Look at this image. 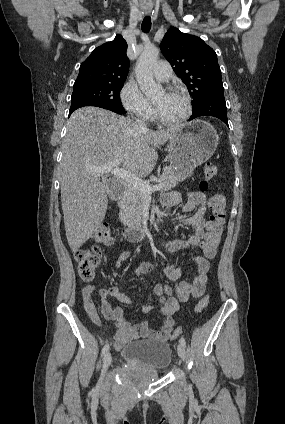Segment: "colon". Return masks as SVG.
<instances>
[{
	"mask_svg": "<svg viewBox=\"0 0 285 424\" xmlns=\"http://www.w3.org/2000/svg\"><path fill=\"white\" fill-rule=\"evenodd\" d=\"M218 168L213 163H207L203 170V178L200 181L201 192L208 190L209 181L216 177ZM211 216L208 221L207 236L204 243V253L208 257H213L220 245L224 231L227 214V199L223 193H214L209 199ZM95 239L98 243L110 246L113 244V236L108 225H102L96 232ZM74 258L78 263V274L83 281H91L94 278L95 269L101 262V254L98 248L91 247L74 251ZM208 297H203L196 305L195 311L202 312L208 306ZM181 329L177 328L172 333V338L177 337Z\"/></svg>",
	"mask_w": 285,
	"mask_h": 424,
	"instance_id": "1",
	"label": "colon"
}]
</instances>
